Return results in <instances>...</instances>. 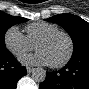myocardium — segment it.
I'll list each match as a JSON object with an SVG mask.
<instances>
[{
	"instance_id": "1",
	"label": "myocardium",
	"mask_w": 89,
	"mask_h": 89,
	"mask_svg": "<svg viewBox=\"0 0 89 89\" xmlns=\"http://www.w3.org/2000/svg\"><path fill=\"white\" fill-rule=\"evenodd\" d=\"M58 35H62V36L66 37L68 44H69V50H68V53L63 60H61L60 62H57V63H50L49 64L52 68H61L65 65H67L69 63V61L72 59L75 46H74V41H73V38L71 37V35L66 31L57 30V31H53V32H50V33L44 35L35 44V49L37 50L38 46L41 43L47 42Z\"/></svg>"
}]
</instances>
